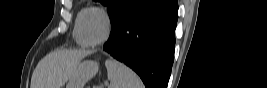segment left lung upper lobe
<instances>
[{
  "instance_id": "left-lung-upper-lobe-1",
  "label": "left lung upper lobe",
  "mask_w": 267,
  "mask_h": 88,
  "mask_svg": "<svg viewBox=\"0 0 267 88\" xmlns=\"http://www.w3.org/2000/svg\"><path fill=\"white\" fill-rule=\"evenodd\" d=\"M107 6L111 25L115 23L121 12L131 0H95Z\"/></svg>"
}]
</instances>
